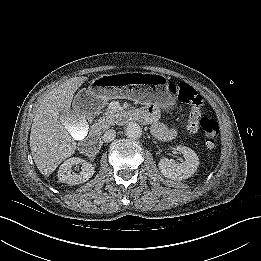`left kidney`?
<instances>
[{
    "label": "left kidney",
    "instance_id": "5707ae66",
    "mask_svg": "<svg viewBox=\"0 0 261 261\" xmlns=\"http://www.w3.org/2000/svg\"><path fill=\"white\" fill-rule=\"evenodd\" d=\"M176 150L183 154L185 161L181 163L172 162L168 158H162L158 167L164 177L172 180H185L191 177L197 170L199 158L189 147L179 145Z\"/></svg>",
    "mask_w": 261,
    "mask_h": 261
}]
</instances>
